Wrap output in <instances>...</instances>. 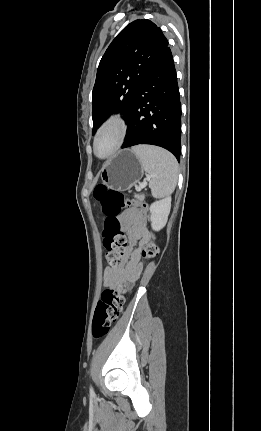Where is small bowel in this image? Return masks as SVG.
<instances>
[{"label": "small bowel", "instance_id": "1", "mask_svg": "<svg viewBox=\"0 0 261 431\" xmlns=\"http://www.w3.org/2000/svg\"><path fill=\"white\" fill-rule=\"evenodd\" d=\"M122 227L127 231L129 245L126 249L127 261L119 266L107 267L103 275V284L109 288H116L127 282H135L141 272V249L150 239L146 228V216L143 210L131 208L121 216ZM139 247L133 249V246Z\"/></svg>", "mask_w": 261, "mask_h": 431}]
</instances>
